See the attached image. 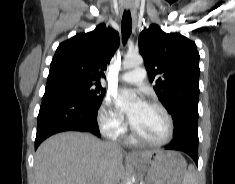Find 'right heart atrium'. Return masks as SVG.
Returning a JSON list of instances; mask_svg holds the SVG:
<instances>
[{"instance_id": "right-heart-atrium-1", "label": "right heart atrium", "mask_w": 235, "mask_h": 184, "mask_svg": "<svg viewBox=\"0 0 235 184\" xmlns=\"http://www.w3.org/2000/svg\"><path fill=\"white\" fill-rule=\"evenodd\" d=\"M97 122L102 133L111 138L122 136L126 129L123 116L112 109L111 100L108 98L98 110Z\"/></svg>"}]
</instances>
